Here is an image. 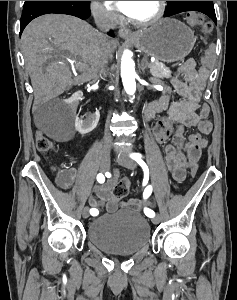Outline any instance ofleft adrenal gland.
<instances>
[{"instance_id":"1","label":"left adrenal gland","mask_w":237,"mask_h":300,"mask_svg":"<svg viewBox=\"0 0 237 300\" xmlns=\"http://www.w3.org/2000/svg\"><path fill=\"white\" fill-rule=\"evenodd\" d=\"M147 63H148L147 57H143V59L140 63V69H141L142 73H145Z\"/></svg>"}]
</instances>
